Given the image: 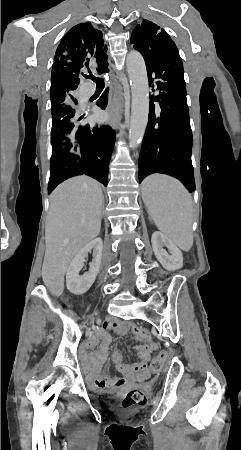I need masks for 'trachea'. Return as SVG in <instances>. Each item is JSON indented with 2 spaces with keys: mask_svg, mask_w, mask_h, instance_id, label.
Listing matches in <instances>:
<instances>
[{
  "mask_svg": "<svg viewBox=\"0 0 241 450\" xmlns=\"http://www.w3.org/2000/svg\"><path fill=\"white\" fill-rule=\"evenodd\" d=\"M85 78H91V80H93L96 83V85H103L104 84L103 78L94 77V75H92V74H90L89 76L85 75Z\"/></svg>",
  "mask_w": 241,
  "mask_h": 450,
  "instance_id": "3493384b",
  "label": "trachea"
}]
</instances>
